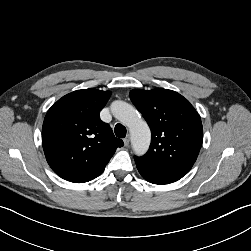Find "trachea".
<instances>
[{
    "mask_svg": "<svg viewBox=\"0 0 251 251\" xmlns=\"http://www.w3.org/2000/svg\"><path fill=\"white\" fill-rule=\"evenodd\" d=\"M114 131L115 135L119 138H124L126 136V128L122 124H116Z\"/></svg>",
    "mask_w": 251,
    "mask_h": 251,
    "instance_id": "obj_1",
    "label": "trachea"
}]
</instances>
